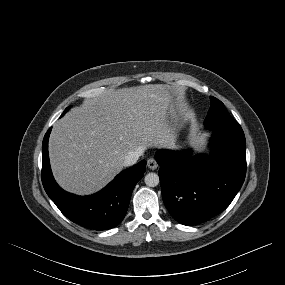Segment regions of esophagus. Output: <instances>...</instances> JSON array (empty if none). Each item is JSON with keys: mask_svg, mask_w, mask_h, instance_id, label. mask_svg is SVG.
I'll return each instance as SVG.
<instances>
[{"mask_svg": "<svg viewBox=\"0 0 285 285\" xmlns=\"http://www.w3.org/2000/svg\"><path fill=\"white\" fill-rule=\"evenodd\" d=\"M147 166L151 170H155L158 167V163H157V161L154 158H149L147 160Z\"/></svg>", "mask_w": 285, "mask_h": 285, "instance_id": "esophagus-1", "label": "esophagus"}]
</instances>
